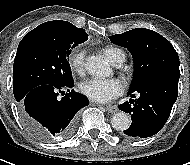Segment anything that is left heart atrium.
Returning a JSON list of instances; mask_svg holds the SVG:
<instances>
[{
  "instance_id": "1",
  "label": "left heart atrium",
  "mask_w": 190,
  "mask_h": 165,
  "mask_svg": "<svg viewBox=\"0 0 190 165\" xmlns=\"http://www.w3.org/2000/svg\"><path fill=\"white\" fill-rule=\"evenodd\" d=\"M80 91L97 102H108L123 92V85L119 79L91 78L80 85Z\"/></svg>"
}]
</instances>
